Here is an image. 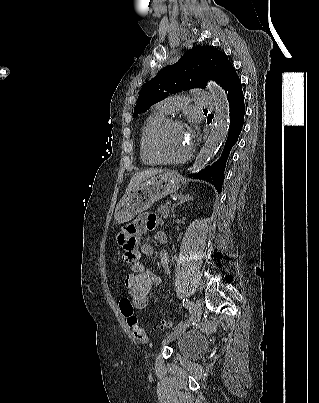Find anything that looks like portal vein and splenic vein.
<instances>
[{"instance_id":"obj_1","label":"portal vein and splenic vein","mask_w":319,"mask_h":403,"mask_svg":"<svg viewBox=\"0 0 319 403\" xmlns=\"http://www.w3.org/2000/svg\"><path fill=\"white\" fill-rule=\"evenodd\" d=\"M170 204H171V202H170V201H167V202H166V205H168V206H169Z\"/></svg>"}]
</instances>
